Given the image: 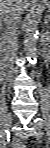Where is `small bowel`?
<instances>
[{"label":"small bowel","instance_id":"1","mask_svg":"<svg viewBox=\"0 0 50 148\" xmlns=\"http://www.w3.org/2000/svg\"><path fill=\"white\" fill-rule=\"evenodd\" d=\"M13 147L14 148H23L24 145L22 144L21 140L20 139H16L13 143Z\"/></svg>","mask_w":50,"mask_h":148}]
</instances>
